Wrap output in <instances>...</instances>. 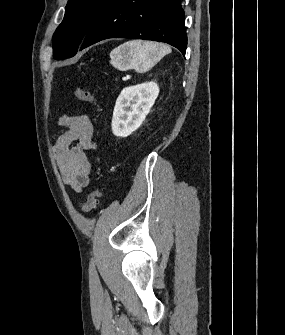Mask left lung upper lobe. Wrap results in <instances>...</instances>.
I'll list each match as a JSON object with an SVG mask.
<instances>
[{
	"instance_id": "left-lung-upper-lobe-1",
	"label": "left lung upper lobe",
	"mask_w": 285,
	"mask_h": 335,
	"mask_svg": "<svg viewBox=\"0 0 285 335\" xmlns=\"http://www.w3.org/2000/svg\"><path fill=\"white\" fill-rule=\"evenodd\" d=\"M110 0H68L65 16L53 36L55 59L74 56L95 19Z\"/></svg>"
}]
</instances>
